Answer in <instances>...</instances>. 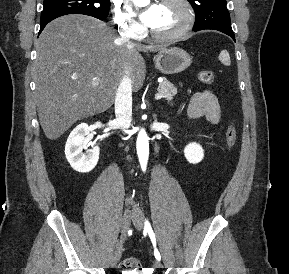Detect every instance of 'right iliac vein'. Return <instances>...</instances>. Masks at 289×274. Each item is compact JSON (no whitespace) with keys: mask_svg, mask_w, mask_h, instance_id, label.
Segmentation results:
<instances>
[{"mask_svg":"<svg viewBox=\"0 0 289 274\" xmlns=\"http://www.w3.org/2000/svg\"><path fill=\"white\" fill-rule=\"evenodd\" d=\"M131 219H132V213L129 209H127L124 212V215L122 217V221H121V237H120V242L112 256L111 259V266L115 267L117 265V263L119 262L121 255H122V246H123V242L127 236L129 227H130V223H131Z\"/></svg>","mask_w":289,"mask_h":274,"instance_id":"obj_1","label":"right iliac vein"}]
</instances>
